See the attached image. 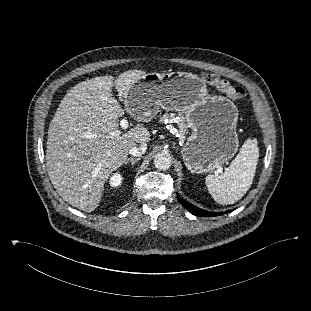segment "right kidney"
I'll list each match as a JSON object with an SVG mask.
<instances>
[{
    "label": "right kidney",
    "instance_id": "1",
    "mask_svg": "<svg viewBox=\"0 0 311 311\" xmlns=\"http://www.w3.org/2000/svg\"><path fill=\"white\" fill-rule=\"evenodd\" d=\"M123 181V177L120 173H114L110 179L109 184L111 188H118Z\"/></svg>",
    "mask_w": 311,
    "mask_h": 311
}]
</instances>
